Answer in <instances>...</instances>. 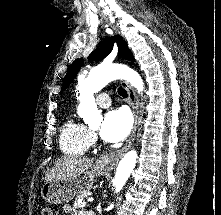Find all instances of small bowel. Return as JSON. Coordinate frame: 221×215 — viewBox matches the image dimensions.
<instances>
[{"instance_id":"small-bowel-1","label":"small bowel","mask_w":221,"mask_h":215,"mask_svg":"<svg viewBox=\"0 0 221 215\" xmlns=\"http://www.w3.org/2000/svg\"><path fill=\"white\" fill-rule=\"evenodd\" d=\"M64 215H87L86 212L83 211H74L70 205L63 206Z\"/></svg>"}]
</instances>
